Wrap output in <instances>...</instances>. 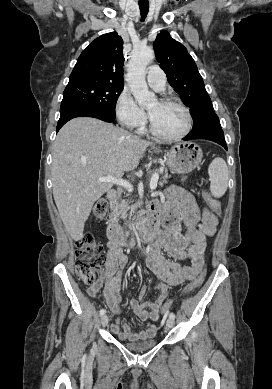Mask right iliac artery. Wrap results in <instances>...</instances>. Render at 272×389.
Listing matches in <instances>:
<instances>
[{"mask_svg": "<svg viewBox=\"0 0 272 389\" xmlns=\"http://www.w3.org/2000/svg\"><path fill=\"white\" fill-rule=\"evenodd\" d=\"M106 310L105 309H101L100 310V316H103L105 314Z\"/></svg>", "mask_w": 272, "mask_h": 389, "instance_id": "1", "label": "right iliac artery"}]
</instances>
